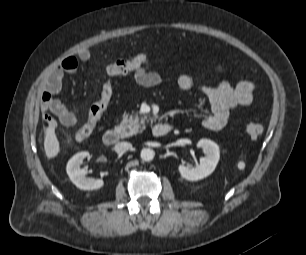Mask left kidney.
<instances>
[{"label":"left kidney","instance_id":"left-kidney-1","mask_svg":"<svg viewBox=\"0 0 306 255\" xmlns=\"http://www.w3.org/2000/svg\"><path fill=\"white\" fill-rule=\"evenodd\" d=\"M197 147L205 153V157L200 158V164L193 168L178 166L181 176L189 181H198L209 176L216 168L220 158L219 146L209 139L199 140Z\"/></svg>","mask_w":306,"mask_h":255}]
</instances>
